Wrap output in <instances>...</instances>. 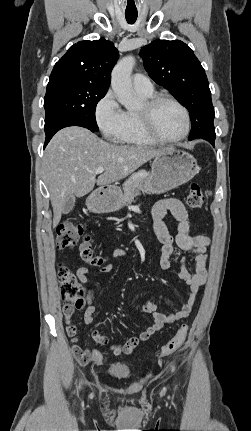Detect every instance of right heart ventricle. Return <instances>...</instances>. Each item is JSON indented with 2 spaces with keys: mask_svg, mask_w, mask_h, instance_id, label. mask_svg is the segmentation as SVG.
<instances>
[{
  "mask_svg": "<svg viewBox=\"0 0 251 431\" xmlns=\"http://www.w3.org/2000/svg\"><path fill=\"white\" fill-rule=\"evenodd\" d=\"M140 94L146 98L153 96V92ZM116 140L120 143L136 146H152L156 143L146 135L141 126L138 112L134 111L126 112L125 127Z\"/></svg>",
  "mask_w": 251,
  "mask_h": 431,
  "instance_id": "1",
  "label": "right heart ventricle"
}]
</instances>
